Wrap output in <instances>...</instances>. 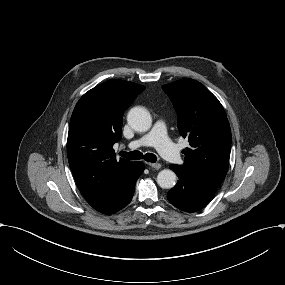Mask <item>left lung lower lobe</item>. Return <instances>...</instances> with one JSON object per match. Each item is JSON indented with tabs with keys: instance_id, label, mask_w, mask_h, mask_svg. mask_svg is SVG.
Listing matches in <instances>:
<instances>
[{
	"instance_id": "0a47b994",
	"label": "left lung lower lobe",
	"mask_w": 285,
	"mask_h": 285,
	"mask_svg": "<svg viewBox=\"0 0 285 285\" xmlns=\"http://www.w3.org/2000/svg\"><path fill=\"white\" fill-rule=\"evenodd\" d=\"M178 176L177 184L168 192V200L175 207L186 212H196L204 208L214 196L211 189L181 173L174 164L170 165Z\"/></svg>"
}]
</instances>
